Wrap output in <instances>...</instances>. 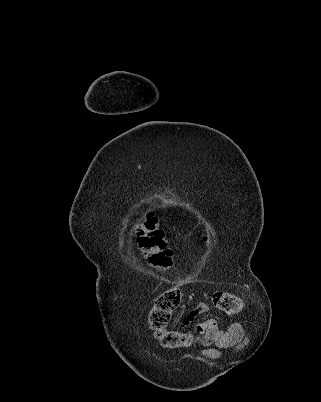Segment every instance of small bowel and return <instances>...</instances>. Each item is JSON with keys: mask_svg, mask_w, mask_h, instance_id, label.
<instances>
[{"mask_svg": "<svg viewBox=\"0 0 321 402\" xmlns=\"http://www.w3.org/2000/svg\"><path fill=\"white\" fill-rule=\"evenodd\" d=\"M209 311V306L206 303H199L189 311L187 316L181 323L182 327L191 324L198 316L203 315ZM245 323L242 320H232L231 328L222 327L213 319L204 321L196 325V330L203 336V342L206 345L204 352L216 358L220 354V350L239 346V333L244 328Z\"/></svg>", "mask_w": 321, "mask_h": 402, "instance_id": "1", "label": "small bowel"}]
</instances>
